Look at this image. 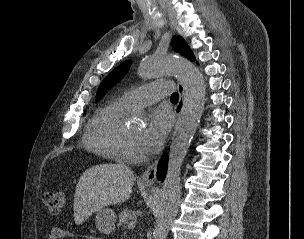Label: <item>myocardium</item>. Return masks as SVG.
<instances>
[{
  "mask_svg": "<svg viewBox=\"0 0 304 239\" xmlns=\"http://www.w3.org/2000/svg\"><path fill=\"white\" fill-rule=\"evenodd\" d=\"M120 149L123 158L127 160L135 161L142 158V154L134 147L126 129L124 130L121 138Z\"/></svg>",
  "mask_w": 304,
  "mask_h": 239,
  "instance_id": "1",
  "label": "myocardium"
}]
</instances>
